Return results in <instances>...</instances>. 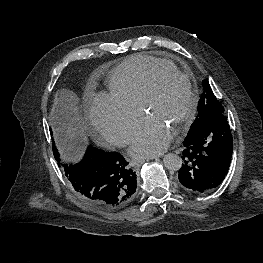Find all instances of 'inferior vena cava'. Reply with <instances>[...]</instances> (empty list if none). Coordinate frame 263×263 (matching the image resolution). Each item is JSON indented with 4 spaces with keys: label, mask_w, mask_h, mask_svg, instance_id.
Listing matches in <instances>:
<instances>
[{
    "label": "inferior vena cava",
    "mask_w": 263,
    "mask_h": 263,
    "mask_svg": "<svg viewBox=\"0 0 263 263\" xmlns=\"http://www.w3.org/2000/svg\"><path fill=\"white\" fill-rule=\"evenodd\" d=\"M121 144H122V145H126V144H128V141H127V140H124V141L121 142Z\"/></svg>",
    "instance_id": "602c4592"
}]
</instances>
